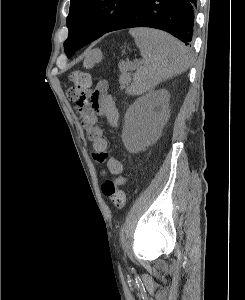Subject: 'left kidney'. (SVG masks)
<instances>
[{"label":"left kidney","mask_w":245,"mask_h":300,"mask_svg":"<svg viewBox=\"0 0 245 300\" xmlns=\"http://www.w3.org/2000/svg\"><path fill=\"white\" fill-rule=\"evenodd\" d=\"M168 93L164 90L135 101L126 111L122 141L126 149L136 153L155 140L168 115Z\"/></svg>","instance_id":"left-kidney-1"}]
</instances>
